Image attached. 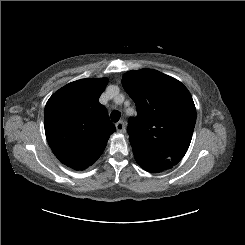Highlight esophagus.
I'll list each match as a JSON object with an SVG mask.
<instances>
[{"instance_id":"34e87169","label":"esophagus","mask_w":245,"mask_h":245,"mask_svg":"<svg viewBox=\"0 0 245 245\" xmlns=\"http://www.w3.org/2000/svg\"><path fill=\"white\" fill-rule=\"evenodd\" d=\"M115 126H116V130H117L119 133H125L126 127H125L124 122L119 121Z\"/></svg>"}]
</instances>
